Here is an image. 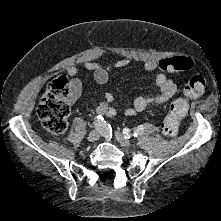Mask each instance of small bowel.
Wrapping results in <instances>:
<instances>
[{"label":"small bowel","instance_id":"c3829d8e","mask_svg":"<svg viewBox=\"0 0 221 221\" xmlns=\"http://www.w3.org/2000/svg\"><path fill=\"white\" fill-rule=\"evenodd\" d=\"M129 58H123L118 60L112 65L104 66L95 62L84 63V68L93 73L94 79L99 84H105L108 81L109 73L113 69H120L130 64ZM159 63L156 60H147L143 64V70L146 72L155 71L159 68ZM66 73L72 77L71 86L74 92V97H78L80 94L82 83L77 78L78 69L75 66H68ZM155 86L158 89V93L150 96H138L134 99L132 106L125 109L126 116H134L147 108L164 104L172 99L177 92L176 83L167 76L163 71L158 72L155 78ZM114 102V96L106 92L103 95L102 101L96 106L95 112L98 115L106 117H114L117 114V109L112 105Z\"/></svg>","mask_w":221,"mask_h":221}]
</instances>
